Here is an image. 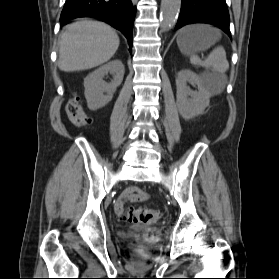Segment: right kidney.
Here are the masks:
<instances>
[{"instance_id": "ca27d5eb", "label": "right kidney", "mask_w": 279, "mask_h": 279, "mask_svg": "<svg viewBox=\"0 0 279 279\" xmlns=\"http://www.w3.org/2000/svg\"><path fill=\"white\" fill-rule=\"evenodd\" d=\"M124 71L123 63L120 60H113L102 65L84 79V94L90 110H98L111 101L116 88L123 81ZM108 73L113 74V80L110 83L103 80Z\"/></svg>"}]
</instances>
